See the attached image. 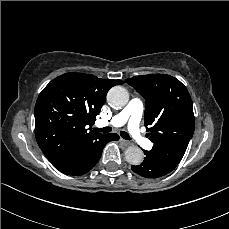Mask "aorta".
<instances>
[{"mask_svg": "<svg viewBox=\"0 0 229 229\" xmlns=\"http://www.w3.org/2000/svg\"><path fill=\"white\" fill-rule=\"evenodd\" d=\"M108 104L112 108H122L129 101V93L122 86L112 87L107 94ZM144 153L138 146H129L125 150V159L132 165H140L143 162Z\"/></svg>", "mask_w": 229, "mask_h": 229, "instance_id": "1", "label": "aorta"}]
</instances>
